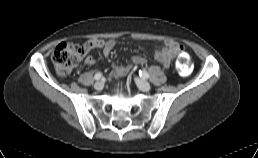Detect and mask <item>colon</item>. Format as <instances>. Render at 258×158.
<instances>
[{
  "label": "colon",
  "mask_w": 258,
  "mask_h": 158,
  "mask_svg": "<svg viewBox=\"0 0 258 158\" xmlns=\"http://www.w3.org/2000/svg\"><path fill=\"white\" fill-rule=\"evenodd\" d=\"M90 47L83 45H75L73 43L59 44L52 54V61L55 65L57 73L62 76H68L80 60L89 52ZM191 57L186 51H181L177 60L176 68L180 75L186 76L191 71Z\"/></svg>",
  "instance_id": "5ec220e1"
}]
</instances>
